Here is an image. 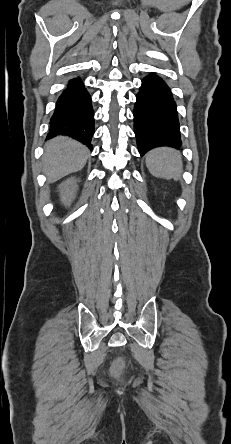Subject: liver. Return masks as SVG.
<instances>
[{
	"instance_id": "obj_1",
	"label": "liver",
	"mask_w": 231,
	"mask_h": 444,
	"mask_svg": "<svg viewBox=\"0 0 231 444\" xmlns=\"http://www.w3.org/2000/svg\"><path fill=\"white\" fill-rule=\"evenodd\" d=\"M89 157V150L81 143L59 136L45 145L43 172L53 183L66 175L81 170Z\"/></svg>"
}]
</instances>
